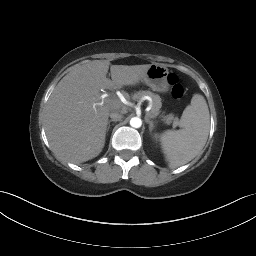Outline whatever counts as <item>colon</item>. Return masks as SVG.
<instances>
[{
  "instance_id": "obj_1",
  "label": "colon",
  "mask_w": 256,
  "mask_h": 256,
  "mask_svg": "<svg viewBox=\"0 0 256 256\" xmlns=\"http://www.w3.org/2000/svg\"><path fill=\"white\" fill-rule=\"evenodd\" d=\"M168 83L171 86V94L175 99H180L184 94L183 86L180 84L178 77L175 74L168 76Z\"/></svg>"
}]
</instances>
